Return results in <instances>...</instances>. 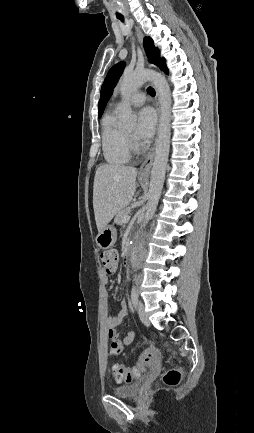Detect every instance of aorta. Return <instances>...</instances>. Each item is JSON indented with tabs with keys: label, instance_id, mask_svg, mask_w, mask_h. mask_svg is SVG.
<instances>
[{
	"label": "aorta",
	"instance_id": "1",
	"mask_svg": "<svg viewBox=\"0 0 254 433\" xmlns=\"http://www.w3.org/2000/svg\"><path fill=\"white\" fill-rule=\"evenodd\" d=\"M147 81L152 82L156 88L160 101L161 116L154 163L150 176L148 202L146 205L144 222L140 228L141 231L156 211L164 184L165 170L170 149L171 93L166 78L160 73L150 70L125 72L120 84L121 95L125 99ZM119 119L125 125H133L136 122L137 117L132 112L130 105L126 102H124L120 108ZM141 231H139V233ZM138 234L136 235V239H138ZM130 260L132 269L135 271L137 261L136 244L132 249Z\"/></svg>",
	"mask_w": 254,
	"mask_h": 433
}]
</instances>
